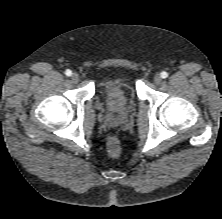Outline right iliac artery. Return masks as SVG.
Here are the masks:
<instances>
[{
    "mask_svg": "<svg viewBox=\"0 0 222 219\" xmlns=\"http://www.w3.org/2000/svg\"><path fill=\"white\" fill-rule=\"evenodd\" d=\"M65 74H66V76H71L72 75V71L68 69V70L65 71Z\"/></svg>",
    "mask_w": 222,
    "mask_h": 219,
    "instance_id": "82829eb1",
    "label": "right iliac artery"
}]
</instances>
